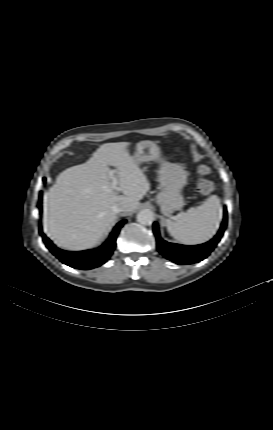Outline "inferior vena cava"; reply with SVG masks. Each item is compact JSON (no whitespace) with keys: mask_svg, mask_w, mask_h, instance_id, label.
Returning a JSON list of instances; mask_svg holds the SVG:
<instances>
[{"mask_svg":"<svg viewBox=\"0 0 273 430\" xmlns=\"http://www.w3.org/2000/svg\"><path fill=\"white\" fill-rule=\"evenodd\" d=\"M124 210V205L122 203H116L112 206V211L116 214Z\"/></svg>","mask_w":273,"mask_h":430,"instance_id":"inferior-vena-cava-1","label":"inferior vena cava"}]
</instances>
